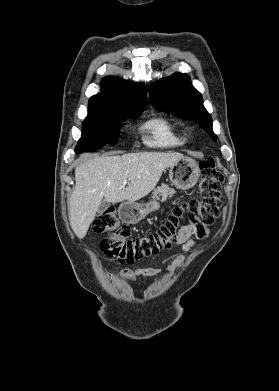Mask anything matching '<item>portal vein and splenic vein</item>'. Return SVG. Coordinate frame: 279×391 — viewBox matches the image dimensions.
Segmentation results:
<instances>
[{
    "label": "portal vein and splenic vein",
    "mask_w": 279,
    "mask_h": 391,
    "mask_svg": "<svg viewBox=\"0 0 279 391\" xmlns=\"http://www.w3.org/2000/svg\"><path fill=\"white\" fill-rule=\"evenodd\" d=\"M127 183H128V180L125 179V180L123 181V185L125 186Z\"/></svg>",
    "instance_id": "1"
}]
</instances>
